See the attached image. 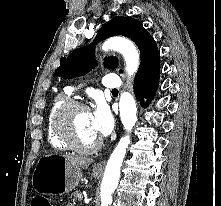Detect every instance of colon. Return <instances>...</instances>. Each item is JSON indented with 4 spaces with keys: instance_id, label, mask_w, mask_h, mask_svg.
Masks as SVG:
<instances>
[{
    "instance_id": "5ec220e1",
    "label": "colon",
    "mask_w": 221,
    "mask_h": 206,
    "mask_svg": "<svg viewBox=\"0 0 221 206\" xmlns=\"http://www.w3.org/2000/svg\"><path fill=\"white\" fill-rule=\"evenodd\" d=\"M30 206H52V205L45 198L35 197L32 199Z\"/></svg>"
}]
</instances>
